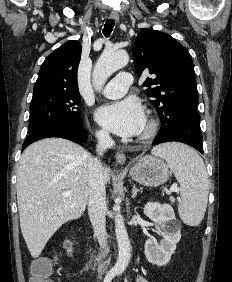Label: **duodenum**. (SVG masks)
<instances>
[{
	"label": "duodenum",
	"instance_id": "duodenum-1",
	"mask_svg": "<svg viewBox=\"0 0 232 282\" xmlns=\"http://www.w3.org/2000/svg\"><path fill=\"white\" fill-rule=\"evenodd\" d=\"M107 253H108V249H105L104 251L100 252L97 257H94L91 248H87V249H86L87 258H88L91 262H94V261H96V260H101L102 258H104V257L107 255Z\"/></svg>",
	"mask_w": 232,
	"mask_h": 282
}]
</instances>
